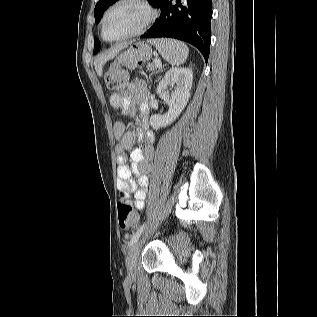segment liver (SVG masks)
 <instances>
[{
	"instance_id": "liver-1",
	"label": "liver",
	"mask_w": 317,
	"mask_h": 317,
	"mask_svg": "<svg viewBox=\"0 0 317 317\" xmlns=\"http://www.w3.org/2000/svg\"><path fill=\"white\" fill-rule=\"evenodd\" d=\"M127 46H128V44L117 45V46L113 47L111 50H109L108 52L103 53L102 55H100L98 58L95 59L94 66H95V70L97 72V75L99 77L102 76L103 66L105 65V63L108 60L113 59L123 48H125Z\"/></svg>"
}]
</instances>
